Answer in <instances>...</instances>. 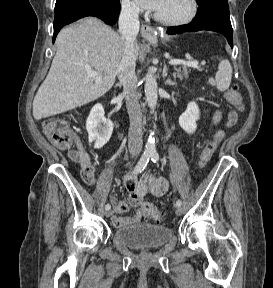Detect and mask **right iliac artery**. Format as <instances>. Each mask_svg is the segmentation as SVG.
I'll return each instance as SVG.
<instances>
[{
    "label": "right iliac artery",
    "mask_w": 273,
    "mask_h": 288,
    "mask_svg": "<svg viewBox=\"0 0 273 288\" xmlns=\"http://www.w3.org/2000/svg\"><path fill=\"white\" fill-rule=\"evenodd\" d=\"M150 158H151L150 154L144 153L142 155V157L140 158V160L138 161L137 165L135 166V168L133 170V174L137 175V174L141 173L145 169V167L148 164ZM110 208H111V206L109 204H106L105 209L109 210Z\"/></svg>",
    "instance_id": "82829eb1"
}]
</instances>
